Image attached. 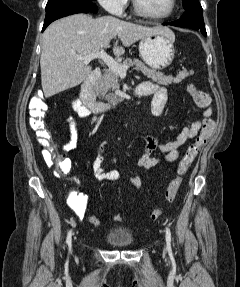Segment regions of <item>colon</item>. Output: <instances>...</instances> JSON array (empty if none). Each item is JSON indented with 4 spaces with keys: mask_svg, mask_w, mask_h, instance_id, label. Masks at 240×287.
<instances>
[{
    "mask_svg": "<svg viewBox=\"0 0 240 287\" xmlns=\"http://www.w3.org/2000/svg\"><path fill=\"white\" fill-rule=\"evenodd\" d=\"M188 93L192 97L194 103L200 108H207L211 104V97L209 93L197 89L193 85L188 86ZM47 110V104L41 97H33L29 103V114H30V127L35 132L36 137L39 141L49 142L50 134L46 129L44 123V116ZM214 129V122L212 119H205L203 121L201 130L196 140L188 146L185 154L178 164L176 176L171 180L165 191V199L168 203H172L179 191L182 184L183 178L194 163L198 153L202 146L206 143ZM57 173L60 175L67 174L71 169V163L64 157L58 156L55 161ZM162 215V210L157 208L154 209L150 214L151 220H157ZM114 220L117 222L123 221V216L120 214L115 215ZM89 222L98 226L100 220L96 216H91Z\"/></svg>",
    "mask_w": 240,
    "mask_h": 287,
    "instance_id": "1",
    "label": "colon"
}]
</instances>
